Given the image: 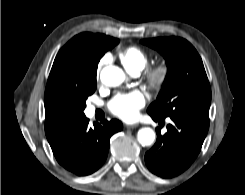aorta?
<instances>
[{
	"label": "aorta",
	"mask_w": 245,
	"mask_h": 195,
	"mask_svg": "<svg viewBox=\"0 0 245 195\" xmlns=\"http://www.w3.org/2000/svg\"><path fill=\"white\" fill-rule=\"evenodd\" d=\"M100 79L109 87L121 85L126 80V75L118 66H106L102 69ZM137 139L142 146H150L155 140V132L149 127L141 128L137 133Z\"/></svg>",
	"instance_id": "762f6f07"
}]
</instances>
